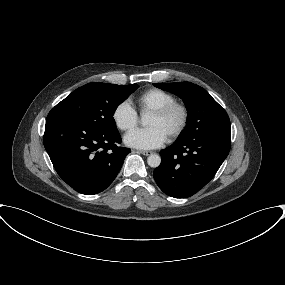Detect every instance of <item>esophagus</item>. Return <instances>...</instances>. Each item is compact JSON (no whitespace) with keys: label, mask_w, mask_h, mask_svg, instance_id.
Returning <instances> with one entry per match:
<instances>
[{"label":"esophagus","mask_w":285,"mask_h":285,"mask_svg":"<svg viewBox=\"0 0 285 285\" xmlns=\"http://www.w3.org/2000/svg\"><path fill=\"white\" fill-rule=\"evenodd\" d=\"M137 152L142 154V155H145V156H148V155L152 154L151 151H145V150H138Z\"/></svg>","instance_id":"34e87169"}]
</instances>
